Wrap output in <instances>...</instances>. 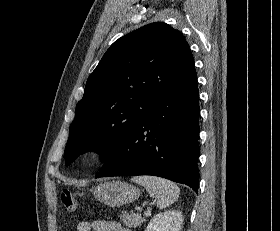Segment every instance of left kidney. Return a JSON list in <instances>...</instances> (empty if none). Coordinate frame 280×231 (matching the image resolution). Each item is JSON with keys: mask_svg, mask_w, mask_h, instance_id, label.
I'll return each instance as SVG.
<instances>
[{"mask_svg": "<svg viewBox=\"0 0 280 231\" xmlns=\"http://www.w3.org/2000/svg\"><path fill=\"white\" fill-rule=\"evenodd\" d=\"M183 223V215L177 209H167L163 213H157L148 223L145 231H180Z\"/></svg>", "mask_w": 280, "mask_h": 231, "instance_id": "left-kidney-1", "label": "left kidney"}]
</instances>
